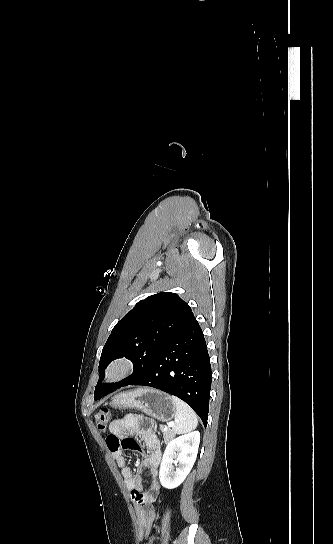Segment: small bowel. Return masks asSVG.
<instances>
[{"label":"small bowel","instance_id":"obj_1","mask_svg":"<svg viewBox=\"0 0 333 544\" xmlns=\"http://www.w3.org/2000/svg\"><path fill=\"white\" fill-rule=\"evenodd\" d=\"M133 434L140 436L143 445L132 438ZM106 445L116 464L121 468L124 483L131 493L138 518V537L142 540L150 533L155 519L153 501L160 492L158 468L162 452L155 434V425L147 417L127 414L110 424ZM127 450L137 451L143 456L140 469L147 470L150 477V487L147 491H143L141 477L127 464L124 456V451Z\"/></svg>","mask_w":333,"mask_h":544}]
</instances>
